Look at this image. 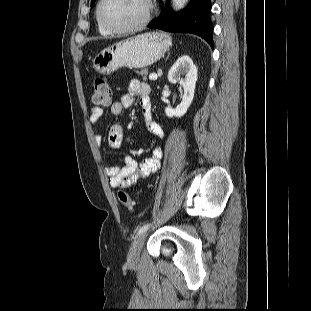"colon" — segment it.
Segmentation results:
<instances>
[{"label":"colon","mask_w":311,"mask_h":311,"mask_svg":"<svg viewBox=\"0 0 311 311\" xmlns=\"http://www.w3.org/2000/svg\"><path fill=\"white\" fill-rule=\"evenodd\" d=\"M92 101L98 107L110 104L111 90L108 83L102 77H97L94 80ZM118 200L127 210L132 211L134 209V201L128 193L119 191Z\"/></svg>","instance_id":"obj_1"}]
</instances>
